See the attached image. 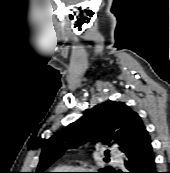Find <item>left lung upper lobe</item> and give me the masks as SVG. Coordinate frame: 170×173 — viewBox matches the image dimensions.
Returning a JSON list of instances; mask_svg holds the SVG:
<instances>
[{"instance_id":"1","label":"left lung upper lobe","mask_w":170,"mask_h":173,"mask_svg":"<svg viewBox=\"0 0 170 173\" xmlns=\"http://www.w3.org/2000/svg\"><path fill=\"white\" fill-rule=\"evenodd\" d=\"M87 141L116 145L127 154L151 141L141 118L123 102L106 101L96 105L79 120L52 136L45 144L35 173L44 172L65 151ZM108 156L109 151L105 152ZM107 166L98 173H113Z\"/></svg>"}]
</instances>
